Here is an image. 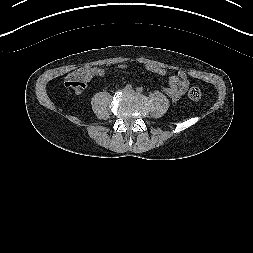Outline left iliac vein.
Here are the masks:
<instances>
[{
  "instance_id": "obj_1",
  "label": "left iliac vein",
  "mask_w": 253,
  "mask_h": 253,
  "mask_svg": "<svg viewBox=\"0 0 253 253\" xmlns=\"http://www.w3.org/2000/svg\"><path fill=\"white\" fill-rule=\"evenodd\" d=\"M130 93H134L135 91L133 89L127 90Z\"/></svg>"
}]
</instances>
